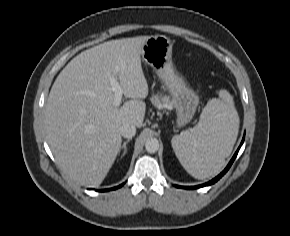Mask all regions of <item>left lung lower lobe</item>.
Segmentation results:
<instances>
[{
  "mask_svg": "<svg viewBox=\"0 0 290 236\" xmlns=\"http://www.w3.org/2000/svg\"><path fill=\"white\" fill-rule=\"evenodd\" d=\"M244 139H245V136L243 137L242 139V142L239 146V148L237 149V151L235 152L234 156L232 157V159L230 160L229 164L227 165V167L217 176L215 177L214 179H212L211 181L205 183V184H201L199 186H180V188H185V189H196V188H200V187H204V186H208V185H211V184H214L215 182H217L230 168V166L232 165V163L234 162L239 150H240V147L242 146L243 142H244Z\"/></svg>",
  "mask_w": 290,
  "mask_h": 236,
  "instance_id": "1",
  "label": "left lung lower lobe"
}]
</instances>
